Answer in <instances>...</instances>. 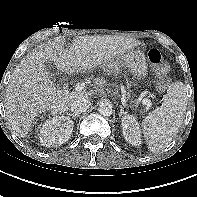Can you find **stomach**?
<instances>
[{
	"mask_svg": "<svg viewBox=\"0 0 197 197\" xmlns=\"http://www.w3.org/2000/svg\"><path fill=\"white\" fill-rule=\"evenodd\" d=\"M107 73H118L122 69L130 72L135 78L143 79L147 76L145 55L140 50L130 51L100 65Z\"/></svg>",
	"mask_w": 197,
	"mask_h": 197,
	"instance_id": "0dacf381",
	"label": "stomach"
}]
</instances>
